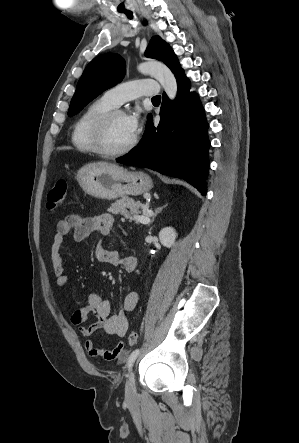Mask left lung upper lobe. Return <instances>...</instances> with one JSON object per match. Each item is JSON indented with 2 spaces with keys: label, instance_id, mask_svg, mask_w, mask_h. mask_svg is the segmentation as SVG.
<instances>
[{
  "label": "left lung upper lobe",
  "instance_id": "obj_1",
  "mask_svg": "<svg viewBox=\"0 0 299 443\" xmlns=\"http://www.w3.org/2000/svg\"><path fill=\"white\" fill-rule=\"evenodd\" d=\"M145 56L163 61L175 75L182 70L169 44L159 36L151 39ZM124 74V59L117 54H103L93 59L85 68L77 84L68 115L74 116L79 113L99 94L119 83Z\"/></svg>",
  "mask_w": 299,
  "mask_h": 443
}]
</instances>
